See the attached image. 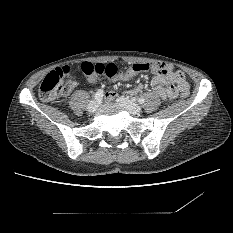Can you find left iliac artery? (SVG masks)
Here are the masks:
<instances>
[{"mask_svg": "<svg viewBox=\"0 0 233 233\" xmlns=\"http://www.w3.org/2000/svg\"><path fill=\"white\" fill-rule=\"evenodd\" d=\"M138 102H139L140 104H143V103L145 102V99H144V98H139V99H138Z\"/></svg>", "mask_w": 233, "mask_h": 233, "instance_id": "1", "label": "left iliac artery"}]
</instances>
